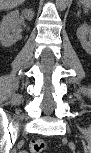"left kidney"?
<instances>
[{
    "mask_svg": "<svg viewBox=\"0 0 91 153\" xmlns=\"http://www.w3.org/2000/svg\"><path fill=\"white\" fill-rule=\"evenodd\" d=\"M91 27L88 24L81 25L77 30V37L81 42L83 49L87 53H91V43L87 41V35L90 34Z\"/></svg>",
    "mask_w": 91,
    "mask_h": 153,
    "instance_id": "1",
    "label": "left kidney"
}]
</instances>
